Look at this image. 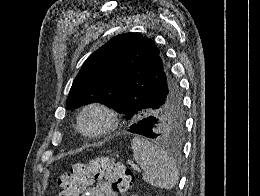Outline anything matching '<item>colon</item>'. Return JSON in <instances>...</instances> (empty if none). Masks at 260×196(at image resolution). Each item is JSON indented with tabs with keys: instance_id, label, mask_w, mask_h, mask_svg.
I'll return each mask as SVG.
<instances>
[{
	"instance_id": "colon-1",
	"label": "colon",
	"mask_w": 260,
	"mask_h": 196,
	"mask_svg": "<svg viewBox=\"0 0 260 196\" xmlns=\"http://www.w3.org/2000/svg\"><path fill=\"white\" fill-rule=\"evenodd\" d=\"M131 169L125 162L109 159H94L87 164H79L70 172L58 178L62 189L60 196H79L86 186L93 183L109 182L119 192L131 189Z\"/></svg>"
}]
</instances>
